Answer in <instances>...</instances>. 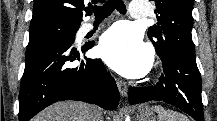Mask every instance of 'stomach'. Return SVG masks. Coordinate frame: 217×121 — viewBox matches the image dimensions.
<instances>
[{"label":"stomach","mask_w":217,"mask_h":121,"mask_svg":"<svg viewBox=\"0 0 217 121\" xmlns=\"http://www.w3.org/2000/svg\"><path fill=\"white\" fill-rule=\"evenodd\" d=\"M136 117L138 121H156L154 113L146 105H140L136 108Z\"/></svg>","instance_id":"obj_1"}]
</instances>
